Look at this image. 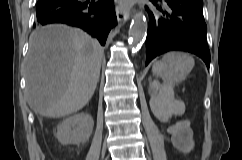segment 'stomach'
<instances>
[{
    "label": "stomach",
    "instance_id": "obj_1",
    "mask_svg": "<svg viewBox=\"0 0 242 160\" xmlns=\"http://www.w3.org/2000/svg\"><path fill=\"white\" fill-rule=\"evenodd\" d=\"M174 53L173 60L177 61L174 65H180V68L174 69L171 68L167 75H164L163 78H175L176 81H182L185 79L187 74L192 69L194 62L193 59L186 53L181 52H172Z\"/></svg>",
    "mask_w": 242,
    "mask_h": 160
}]
</instances>
